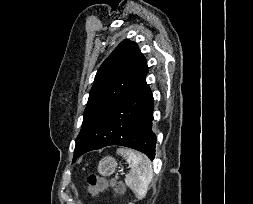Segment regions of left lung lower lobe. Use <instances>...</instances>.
<instances>
[{
    "label": "left lung lower lobe",
    "mask_w": 253,
    "mask_h": 204,
    "mask_svg": "<svg viewBox=\"0 0 253 204\" xmlns=\"http://www.w3.org/2000/svg\"><path fill=\"white\" fill-rule=\"evenodd\" d=\"M153 95L144 80L127 98L99 117L88 128L84 145L73 162L86 152L120 145L155 157L156 135L152 131Z\"/></svg>",
    "instance_id": "obj_1"
}]
</instances>
